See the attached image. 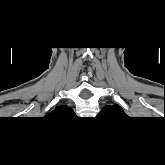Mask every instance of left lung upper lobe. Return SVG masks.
<instances>
[{
	"mask_svg": "<svg viewBox=\"0 0 165 165\" xmlns=\"http://www.w3.org/2000/svg\"><path fill=\"white\" fill-rule=\"evenodd\" d=\"M101 114L103 115H113V117L117 116V117H122L124 115H126L123 111V109L118 106L117 104L112 105V106H105L102 111Z\"/></svg>",
	"mask_w": 165,
	"mask_h": 165,
	"instance_id": "1",
	"label": "left lung upper lobe"
}]
</instances>
